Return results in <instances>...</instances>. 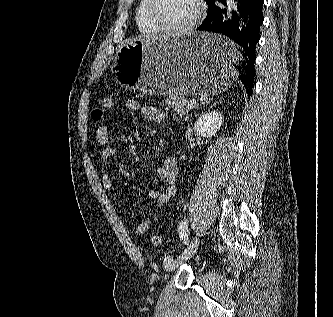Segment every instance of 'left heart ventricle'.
I'll return each mask as SVG.
<instances>
[{"label": "left heart ventricle", "mask_w": 333, "mask_h": 317, "mask_svg": "<svg viewBox=\"0 0 333 317\" xmlns=\"http://www.w3.org/2000/svg\"><path fill=\"white\" fill-rule=\"evenodd\" d=\"M154 12L168 25L183 26L192 19L195 4L194 0H155Z\"/></svg>", "instance_id": "left-heart-ventricle-1"}]
</instances>
